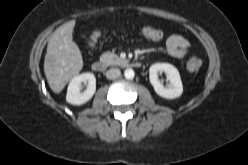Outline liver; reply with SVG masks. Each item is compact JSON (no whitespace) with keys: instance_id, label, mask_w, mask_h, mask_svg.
Instances as JSON below:
<instances>
[{"instance_id":"liver-1","label":"liver","mask_w":248,"mask_h":165,"mask_svg":"<svg viewBox=\"0 0 248 165\" xmlns=\"http://www.w3.org/2000/svg\"><path fill=\"white\" fill-rule=\"evenodd\" d=\"M74 26V20L61 25L54 31L47 45L44 72L54 93H60L83 67L82 54L72 39Z\"/></svg>"}]
</instances>
